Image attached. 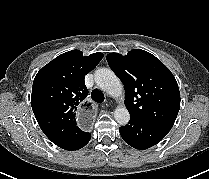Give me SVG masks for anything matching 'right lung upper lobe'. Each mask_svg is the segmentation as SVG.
<instances>
[{
  "mask_svg": "<svg viewBox=\"0 0 209 179\" xmlns=\"http://www.w3.org/2000/svg\"><path fill=\"white\" fill-rule=\"evenodd\" d=\"M102 58V53L83 56L80 50H72L59 55L37 73L31 106L40 128L54 144L80 130L75 119L77 107L88 109L91 105L84 101L88 95L84 76Z\"/></svg>",
  "mask_w": 209,
  "mask_h": 179,
  "instance_id": "1",
  "label": "right lung upper lobe"
}]
</instances>
